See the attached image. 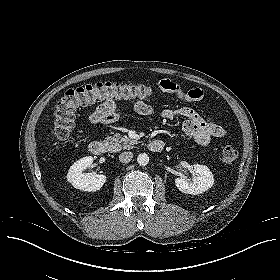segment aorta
<instances>
[{
	"label": "aorta",
	"instance_id": "1",
	"mask_svg": "<svg viewBox=\"0 0 280 280\" xmlns=\"http://www.w3.org/2000/svg\"><path fill=\"white\" fill-rule=\"evenodd\" d=\"M137 162L140 166H145L149 163V156L146 153H141L137 157Z\"/></svg>",
	"mask_w": 280,
	"mask_h": 280
}]
</instances>
